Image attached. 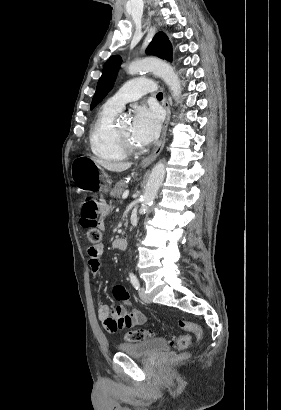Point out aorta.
Returning a JSON list of instances; mask_svg holds the SVG:
<instances>
[{"label":"aorta","mask_w":281,"mask_h":410,"mask_svg":"<svg viewBox=\"0 0 281 410\" xmlns=\"http://www.w3.org/2000/svg\"><path fill=\"white\" fill-rule=\"evenodd\" d=\"M142 71H151L162 78L169 87L174 99L178 101L181 95V85L179 77L171 65L158 59L146 58L132 62L128 67V73L131 75H136ZM164 177L165 163L164 161H159L151 171L142 196L140 208V212L142 214L147 211L148 207L157 196V192L164 180Z\"/></svg>","instance_id":"1"}]
</instances>
